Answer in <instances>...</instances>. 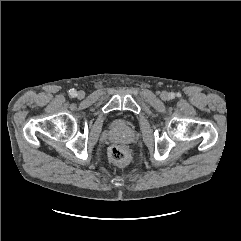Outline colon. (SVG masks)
<instances>
[{"mask_svg": "<svg viewBox=\"0 0 241 241\" xmlns=\"http://www.w3.org/2000/svg\"><path fill=\"white\" fill-rule=\"evenodd\" d=\"M109 157L117 165H125L129 159L128 151L122 146H112L109 149Z\"/></svg>", "mask_w": 241, "mask_h": 241, "instance_id": "1", "label": "colon"}]
</instances>
